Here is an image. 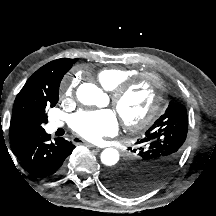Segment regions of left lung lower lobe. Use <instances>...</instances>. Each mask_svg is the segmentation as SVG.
Wrapping results in <instances>:
<instances>
[{
    "label": "left lung lower lobe",
    "mask_w": 216,
    "mask_h": 216,
    "mask_svg": "<svg viewBox=\"0 0 216 216\" xmlns=\"http://www.w3.org/2000/svg\"><path fill=\"white\" fill-rule=\"evenodd\" d=\"M129 171L130 170L128 165L126 164V162H124V164L121 165L119 168L107 172L103 180L105 184L115 193L122 196L131 197L127 194V191L131 190L132 188H123L122 186H120L119 183L122 177L129 173Z\"/></svg>",
    "instance_id": "0a47b994"
}]
</instances>
